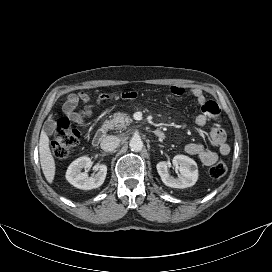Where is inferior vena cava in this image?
I'll list each match as a JSON object with an SVG mask.
<instances>
[{
	"label": "inferior vena cava",
	"instance_id": "1",
	"mask_svg": "<svg viewBox=\"0 0 272 272\" xmlns=\"http://www.w3.org/2000/svg\"><path fill=\"white\" fill-rule=\"evenodd\" d=\"M120 139L116 136H107L101 142V149L110 152L118 147Z\"/></svg>",
	"mask_w": 272,
	"mask_h": 272
}]
</instances>
